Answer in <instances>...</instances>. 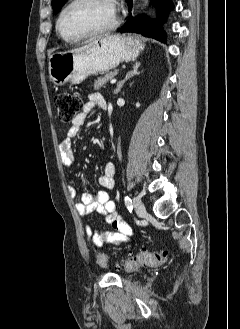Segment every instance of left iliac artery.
Masks as SVG:
<instances>
[{
	"mask_svg": "<svg viewBox=\"0 0 240 329\" xmlns=\"http://www.w3.org/2000/svg\"><path fill=\"white\" fill-rule=\"evenodd\" d=\"M124 200H125L126 207L131 212L132 211V208H133V206H132V200L130 199L129 196H125V199Z\"/></svg>",
	"mask_w": 240,
	"mask_h": 329,
	"instance_id": "1",
	"label": "left iliac artery"
}]
</instances>
